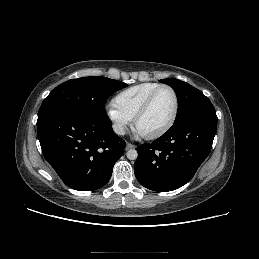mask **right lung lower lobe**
Listing matches in <instances>:
<instances>
[{"mask_svg":"<svg viewBox=\"0 0 259 259\" xmlns=\"http://www.w3.org/2000/svg\"><path fill=\"white\" fill-rule=\"evenodd\" d=\"M111 125L108 118L75 110L52 112L37 120L43 155L67 186L93 191L110 180L126 146Z\"/></svg>","mask_w":259,"mask_h":259,"instance_id":"1","label":"right lung lower lobe"}]
</instances>
